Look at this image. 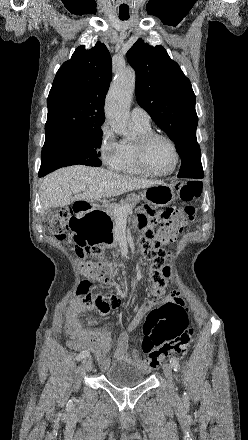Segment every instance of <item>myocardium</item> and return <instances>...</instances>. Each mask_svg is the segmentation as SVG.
Segmentation results:
<instances>
[{
  "label": "myocardium",
  "instance_id": "myocardium-1",
  "mask_svg": "<svg viewBox=\"0 0 248 440\" xmlns=\"http://www.w3.org/2000/svg\"><path fill=\"white\" fill-rule=\"evenodd\" d=\"M156 139H163V140L167 141L171 145L173 153H174L173 166L170 170H168L166 172L153 171L149 167L148 162H147L148 148L151 145V143ZM135 160H136L138 168L140 169V171L143 174H146V175H149L152 177H166V176L173 174L176 171L178 164H179V161H180V154H179L178 147L172 138H170L169 136H167L165 134L151 131L147 134L140 136L138 138V140L136 141V143H135Z\"/></svg>",
  "mask_w": 248,
  "mask_h": 440
}]
</instances>
